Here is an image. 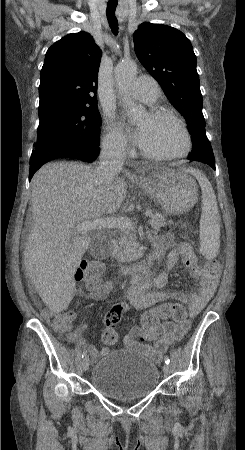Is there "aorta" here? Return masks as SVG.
<instances>
[{
    "instance_id": "aorta-1",
    "label": "aorta",
    "mask_w": 245,
    "mask_h": 450,
    "mask_svg": "<svg viewBox=\"0 0 245 450\" xmlns=\"http://www.w3.org/2000/svg\"><path fill=\"white\" fill-rule=\"evenodd\" d=\"M136 74L137 65L133 61H122L115 68L116 85L119 88V91L123 93V105L133 122L140 121L145 116L144 108L137 105L126 94L127 88L135 78Z\"/></svg>"
}]
</instances>
